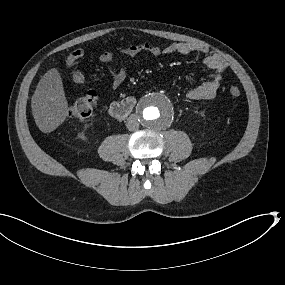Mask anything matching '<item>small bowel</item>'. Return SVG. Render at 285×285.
Here are the masks:
<instances>
[{
  "label": "small bowel",
  "mask_w": 285,
  "mask_h": 285,
  "mask_svg": "<svg viewBox=\"0 0 285 285\" xmlns=\"http://www.w3.org/2000/svg\"><path fill=\"white\" fill-rule=\"evenodd\" d=\"M141 52L160 56L164 54L178 53L181 55L201 54L204 57V64L211 71L208 80L190 89L186 97L189 101L209 100L215 97L222 78L227 70L226 61L218 54L212 53L204 47L190 42H175L161 48L159 46L142 43L133 44L121 50V53L134 57ZM115 54L113 51H105L100 59L105 64L112 88H118L126 79L127 71L124 67L114 65Z\"/></svg>",
  "instance_id": "small-bowel-1"
}]
</instances>
